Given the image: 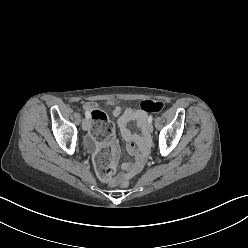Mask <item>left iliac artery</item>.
<instances>
[{
	"mask_svg": "<svg viewBox=\"0 0 248 248\" xmlns=\"http://www.w3.org/2000/svg\"><path fill=\"white\" fill-rule=\"evenodd\" d=\"M152 119H153V117H152V115H150L149 118H148V123H151Z\"/></svg>",
	"mask_w": 248,
	"mask_h": 248,
	"instance_id": "44dca946",
	"label": "left iliac artery"
}]
</instances>
